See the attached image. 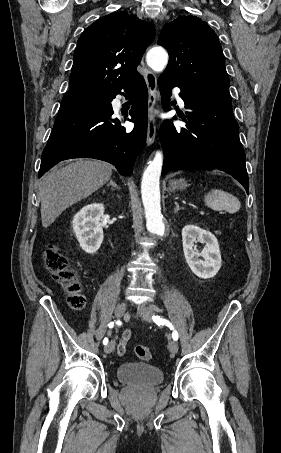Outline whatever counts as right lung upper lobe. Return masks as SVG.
Segmentation results:
<instances>
[{
    "instance_id": "right-lung-upper-lobe-1",
    "label": "right lung upper lobe",
    "mask_w": 281,
    "mask_h": 453,
    "mask_svg": "<svg viewBox=\"0 0 281 453\" xmlns=\"http://www.w3.org/2000/svg\"><path fill=\"white\" fill-rule=\"evenodd\" d=\"M154 36L151 23L127 12L101 17L78 39L67 94L122 89L139 74L136 68Z\"/></svg>"
}]
</instances>
